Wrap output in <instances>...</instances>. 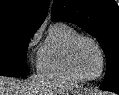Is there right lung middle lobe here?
<instances>
[{"instance_id": "right-lung-middle-lobe-1", "label": "right lung middle lobe", "mask_w": 119, "mask_h": 95, "mask_svg": "<svg viewBox=\"0 0 119 95\" xmlns=\"http://www.w3.org/2000/svg\"><path fill=\"white\" fill-rule=\"evenodd\" d=\"M37 28L11 27L0 32V76H26L29 74L26 52L29 38Z\"/></svg>"}]
</instances>
